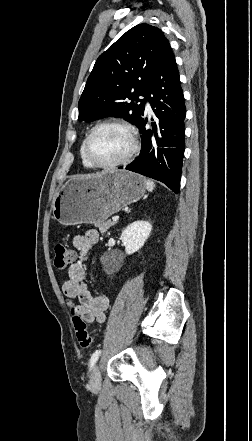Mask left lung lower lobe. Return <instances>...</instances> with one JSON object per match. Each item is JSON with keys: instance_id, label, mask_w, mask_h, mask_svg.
<instances>
[{"instance_id": "left-lung-lower-lobe-1", "label": "left lung lower lobe", "mask_w": 252, "mask_h": 441, "mask_svg": "<svg viewBox=\"0 0 252 441\" xmlns=\"http://www.w3.org/2000/svg\"><path fill=\"white\" fill-rule=\"evenodd\" d=\"M145 97L158 122L157 125L152 123V130H146L147 118H143L138 126L142 134L141 152L125 169L161 181L178 193L185 148L186 108L168 40L161 48Z\"/></svg>"}]
</instances>
